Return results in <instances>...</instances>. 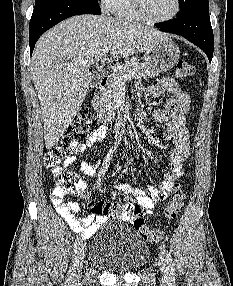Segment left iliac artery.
<instances>
[{"label":"left iliac artery","instance_id":"1","mask_svg":"<svg viewBox=\"0 0 233 286\" xmlns=\"http://www.w3.org/2000/svg\"><path fill=\"white\" fill-rule=\"evenodd\" d=\"M162 250H163V253L165 254V257H166L167 268H168V271L170 273V277H171V279H174L175 269H174V263H173L172 256L166 250L164 245H162Z\"/></svg>","mask_w":233,"mask_h":286}]
</instances>
